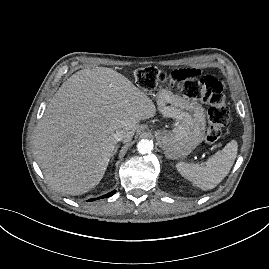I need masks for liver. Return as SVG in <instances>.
<instances>
[{
    "label": "liver",
    "mask_w": 269,
    "mask_h": 269,
    "mask_svg": "<svg viewBox=\"0 0 269 269\" xmlns=\"http://www.w3.org/2000/svg\"><path fill=\"white\" fill-rule=\"evenodd\" d=\"M153 101L112 68L82 69L48 104L35 136L36 159L57 192L81 195L102 180L116 148L114 133L130 141L141 120L154 117Z\"/></svg>",
    "instance_id": "liver-1"
}]
</instances>
